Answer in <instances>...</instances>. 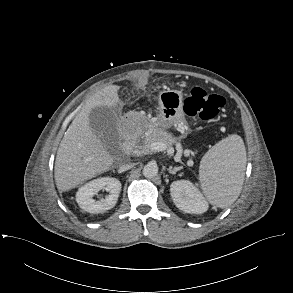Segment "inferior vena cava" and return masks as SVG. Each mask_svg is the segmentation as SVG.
Returning a JSON list of instances; mask_svg holds the SVG:
<instances>
[{
  "label": "inferior vena cava",
  "instance_id": "1",
  "mask_svg": "<svg viewBox=\"0 0 293 293\" xmlns=\"http://www.w3.org/2000/svg\"><path fill=\"white\" fill-rule=\"evenodd\" d=\"M132 167H133L132 163L123 164L120 166L119 171L124 172V171L131 169Z\"/></svg>",
  "mask_w": 293,
  "mask_h": 293
}]
</instances>
